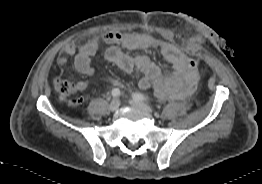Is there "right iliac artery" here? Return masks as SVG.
Returning <instances> with one entry per match:
<instances>
[{
  "label": "right iliac artery",
  "instance_id": "82829eb1",
  "mask_svg": "<svg viewBox=\"0 0 262 184\" xmlns=\"http://www.w3.org/2000/svg\"><path fill=\"white\" fill-rule=\"evenodd\" d=\"M111 93H112V96L115 97V98L119 97L120 94H121V92L118 88H114Z\"/></svg>",
  "mask_w": 262,
  "mask_h": 184
}]
</instances>
